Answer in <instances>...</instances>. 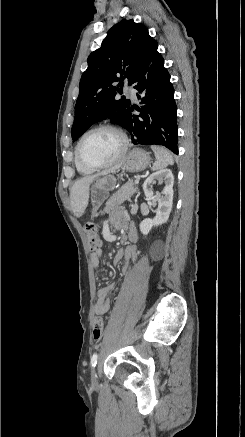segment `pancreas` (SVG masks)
Returning a JSON list of instances; mask_svg holds the SVG:
<instances>
[{
    "instance_id": "cf45deb5",
    "label": "pancreas",
    "mask_w": 245,
    "mask_h": 437,
    "mask_svg": "<svg viewBox=\"0 0 245 437\" xmlns=\"http://www.w3.org/2000/svg\"><path fill=\"white\" fill-rule=\"evenodd\" d=\"M136 191L137 188L134 187L133 180H129L108 199L104 212H110V210L120 206L124 201L128 200Z\"/></svg>"
}]
</instances>
